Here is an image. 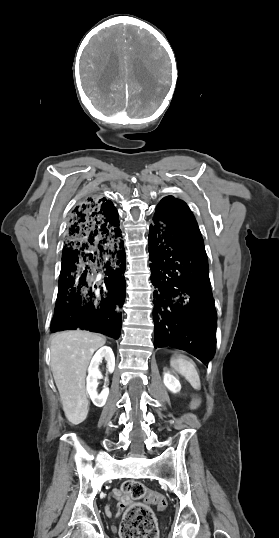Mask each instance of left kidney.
Instances as JSON below:
<instances>
[{
  "label": "left kidney",
  "mask_w": 279,
  "mask_h": 538,
  "mask_svg": "<svg viewBox=\"0 0 279 538\" xmlns=\"http://www.w3.org/2000/svg\"><path fill=\"white\" fill-rule=\"evenodd\" d=\"M163 382L166 388H168L170 392H173V394H177V392H180L181 384L179 380L175 378V376H172V374H170V372H164Z\"/></svg>",
  "instance_id": "obj_1"
}]
</instances>
